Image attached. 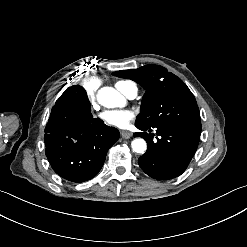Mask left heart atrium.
Instances as JSON below:
<instances>
[{"label":"left heart atrium","mask_w":247,"mask_h":247,"mask_svg":"<svg viewBox=\"0 0 247 247\" xmlns=\"http://www.w3.org/2000/svg\"><path fill=\"white\" fill-rule=\"evenodd\" d=\"M135 117V112L129 109H111L102 113V119L110 126L125 128Z\"/></svg>","instance_id":"1"}]
</instances>
